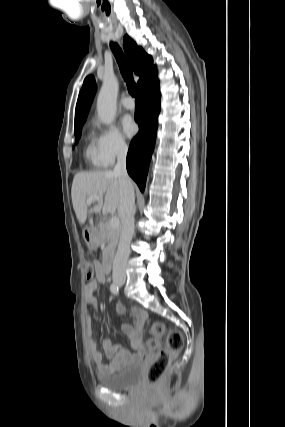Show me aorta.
Returning a JSON list of instances; mask_svg holds the SVG:
<instances>
[{
    "label": "aorta",
    "mask_w": 285,
    "mask_h": 427,
    "mask_svg": "<svg viewBox=\"0 0 285 427\" xmlns=\"http://www.w3.org/2000/svg\"><path fill=\"white\" fill-rule=\"evenodd\" d=\"M118 90L119 83L116 77L104 78L97 98V113L99 119L105 124H111L115 118Z\"/></svg>",
    "instance_id": "1"
}]
</instances>
